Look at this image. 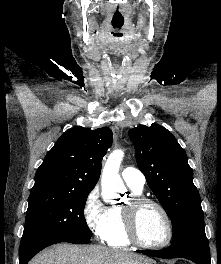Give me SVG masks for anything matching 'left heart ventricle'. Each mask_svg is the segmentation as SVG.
<instances>
[{"label":"left heart ventricle","mask_w":221,"mask_h":264,"mask_svg":"<svg viewBox=\"0 0 221 264\" xmlns=\"http://www.w3.org/2000/svg\"><path fill=\"white\" fill-rule=\"evenodd\" d=\"M139 237L148 244H160L167 237V225L161 212L152 205L143 206L137 219Z\"/></svg>","instance_id":"b2bd125f"}]
</instances>
